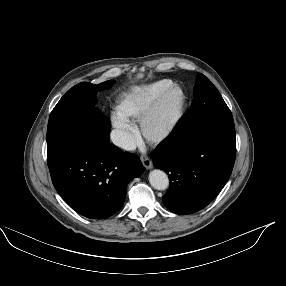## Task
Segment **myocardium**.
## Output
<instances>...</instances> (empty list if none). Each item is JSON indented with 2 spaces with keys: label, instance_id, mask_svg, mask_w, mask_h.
Listing matches in <instances>:
<instances>
[{
  "label": "myocardium",
  "instance_id": "f54148a6",
  "mask_svg": "<svg viewBox=\"0 0 286 286\" xmlns=\"http://www.w3.org/2000/svg\"><path fill=\"white\" fill-rule=\"evenodd\" d=\"M179 91L181 94L179 106L171 119L160 129L152 130L151 126L157 113L165 99L173 92ZM187 96L184 89L179 85H171L164 90L149 106L140 120V131L146 141L151 144H161L167 141L179 127L185 114Z\"/></svg>",
  "mask_w": 286,
  "mask_h": 286
}]
</instances>
